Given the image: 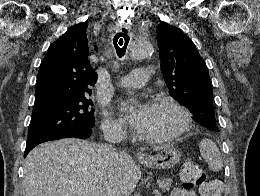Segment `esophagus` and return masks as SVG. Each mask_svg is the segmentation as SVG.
I'll return each instance as SVG.
<instances>
[{
	"label": "esophagus",
	"mask_w": 260,
	"mask_h": 196,
	"mask_svg": "<svg viewBox=\"0 0 260 196\" xmlns=\"http://www.w3.org/2000/svg\"><path fill=\"white\" fill-rule=\"evenodd\" d=\"M137 157L141 158V159L145 158V156H144V154L142 152H138Z\"/></svg>",
	"instance_id": "34e87169"
}]
</instances>
